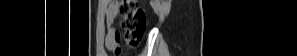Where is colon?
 <instances>
[{"mask_svg": "<svg viewBox=\"0 0 297 56\" xmlns=\"http://www.w3.org/2000/svg\"><path fill=\"white\" fill-rule=\"evenodd\" d=\"M114 5L121 16V27L125 32L126 43L132 47L137 46L146 29L144 11L135 0H122Z\"/></svg>", "mask_w": 297, "mask_h": 56, "instance_id": "obj_1", "label": "colon"}]
</instances>
